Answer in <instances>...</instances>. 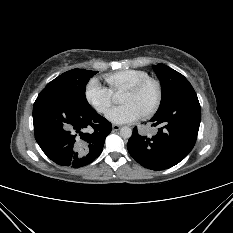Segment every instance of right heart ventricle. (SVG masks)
<instances>
[{"label": "right heart ventricle", "mask_w": 233, "mask_h": 233, "mask_svg": "<svg viewBox=\"0 0 233 233\" xmlns=\"http://www.w3.org/2000/svg\"><path fill=\"white\" fill-rule=\"evenodd\" d=\"M147 77L149 74L146 71L125 69L105 75V80L110 85L111 91L115 93Z\"/></svg>", "instance_id": "1"}]
</instances>
